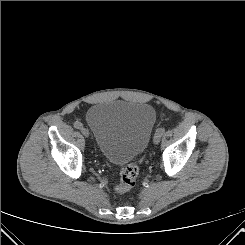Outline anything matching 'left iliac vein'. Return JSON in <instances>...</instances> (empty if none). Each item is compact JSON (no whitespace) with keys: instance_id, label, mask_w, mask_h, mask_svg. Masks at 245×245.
<instances>
[{"instance_id":"left-iliac-vein-1","label":"left iliac vein","mask_w":245,"mask_h":245,"mask_svg":"<svg viewBox=\"0 0 245 245\" xmlns=\"http://www.w3.org/2000/svg\"><path fill=\"white\" fill-rule=\"evenodd\" d=\"M160 139H161V134L155 133L154 138H153L154 144H158L160 142Z\"/></svg>"}]
</instances>
